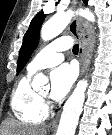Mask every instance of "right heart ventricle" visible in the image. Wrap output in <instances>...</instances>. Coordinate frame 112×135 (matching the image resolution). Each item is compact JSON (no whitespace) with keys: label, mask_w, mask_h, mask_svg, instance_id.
<instances>
[{"label":"right heart ventricle","mask_w":112,"mask_h":135,"mask_svg":"<svg viewBox=\"0 0 112 135\" xmlns=\"http://www.w3.org/2000/svg\"><path fill=\"white\" fill-rule=\"evenodd\" d=\"M31 72L23 76L11 96L10 106L14 116L27 124H40L47 118L48 110L31 85Z\"/></svg>","instance_id":"e07e8e85"}]
</instances>
